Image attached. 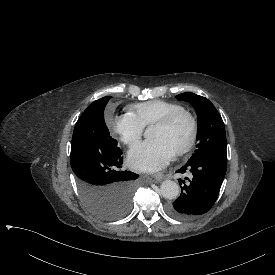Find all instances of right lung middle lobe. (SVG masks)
<instances>
[{
  "label": "right lung middle lobe",
  "instance_id": "1",
  "mask_svg": "<svg viewBox=\"0 0 275 275\" xmlns=\"http://www.w3.org/2000/svg\"><path fill=\"white\" fill-rule=\"evenodd\" d=\"M110 98L91 103L77 121L71 167L89 209L101 218L118 219L130 210L139 175L126 170L122 151L105 124L104 108Z\"/></svg>",
  "mask_w": 275,
  "mask_h": 275
}]
</instances>
